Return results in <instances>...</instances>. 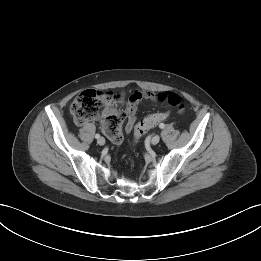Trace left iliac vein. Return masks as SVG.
I'll return each instance as SVG.
<instances>
[{
	"mask_svg": "<svg viewBox=\"0 0 261 261\" xmlns=\"http://www.w3.org/2000/svg\"><path fill=\"white\" fill-rule=\"evenodd\" d=\"M159 141H160L159 135H155V136H153L152 139H151V143H152L153 145L158 144Z\"/></svg>",
	"mask_w": 261,
	"mask_h": 261,
	"instance_id": "obj_1",
	"label": "left iliac vein"
}]
</instances>
